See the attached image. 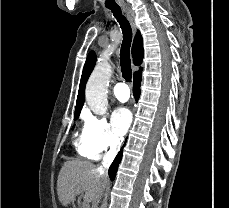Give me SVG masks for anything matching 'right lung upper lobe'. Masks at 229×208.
Returning a JSON list of instances; mask_svg holds the SVG:
<instances>
[{
  "label": "right lung upper lobe",
  "mask_w": 229,
  "mask_h": 208,
  "mask_svg": "<svg viewBox=\"0 0 229 208\" xmlns=\"http://www.w3.org/2000/svg\"><path fill=\"white\" fill-rule=\"evenodd\" d=\"M132 57H133V62L135 65L140 66L142 64V60L144 57V50H143L142 36H141L139 31H137L136 36L134 38L133 45H132ZM95 62H96V55H95L94 51H91L87 56V60H86V63L84 65V68H83L82 77H81L80 86H79V92H78V96H77L75 118L74 119H78L81 108L84 104L85 85L87 83V80H88L93 68H94ZM141 70H142V68H140L139 71H136L134 73V76L139 74L141 72Z\"/></svg>",
  "instance_id": "1"
}]
</instances>
